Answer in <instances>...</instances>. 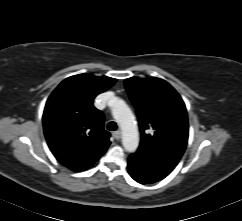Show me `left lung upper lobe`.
Instances as JSON below:
<instances>
[{"mask_svg": "<svg viewBox=\"0 0 242 221\" xmlns=\"http://www.w3.org/2000/svg\"><path fill=\"white\" fill-rule=\"evenodd\" d=\"M124 84L139 119L138 150L177 165L185 151L189 131L182 98L169 83L156 77H131Z\"/></svg>", "mask_w": 242, "mask_h": 221, "instance_id": "5c2ea615", "label": "left lung upper lobe"}]
</instances>
